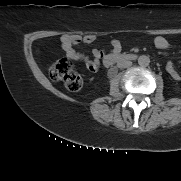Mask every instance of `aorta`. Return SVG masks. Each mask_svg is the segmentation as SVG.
Instances as JSON below:
<instances>
[{"instance_id":"aorta-1","label":"aorta","mask_w":181,"mask_h":181,"mask_svg":"<svg viewBox=\"0 0 181 181\" xmlns=\"http://www.w3.org/2000/svg\"><path fill=\"white\" fill-rule=\"evenodd\" d=\"M138 64L141 67H147L150 64V58L146 55H141L138 58Z\"/></svg>"}]
</instances>
